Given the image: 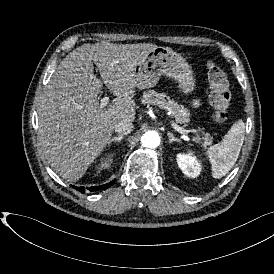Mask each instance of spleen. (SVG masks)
Here are the masks:
<instances>
[{"mask_svg":"<svg viewBox=\"0 0 274 274\" xmlns=\"http://www.w3.org/2000/svg\"><path fill=\"white\" fill-rule=\"evenodd\" d=\"M245 124L242 120L235 122L223 140L207 150L212 165V176L222 178L237 161L244 141Z\"/></svg>","mask_w":274,"mask_h":274,"instance_id":"spleen-1","label":"spleen"}]
</instances>
